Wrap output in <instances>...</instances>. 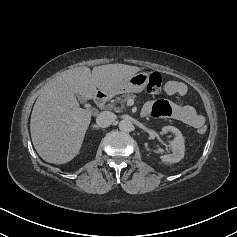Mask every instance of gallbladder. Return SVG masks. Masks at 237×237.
<instances>
[{"instance_id": "1", "label": "gallbladder", "mask_w": 237, "mask_h": 237, "mask_svg": "<svg viewBox=\"0 0 237 237\" xmlns=\"http://www.w3.org/2000/svg\"><path fill=\"white\" fill-rule=\"evenodd\" d=\"M77 98H78V100L81 101V102H84V101H85V99H84L82 96H80V95H77Z\"/></svg>"}]
</instances>
